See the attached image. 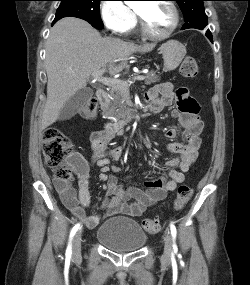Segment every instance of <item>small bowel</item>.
Instances as JSON below:
<instances>
[{"label":"small bowel","mask_w":250,"mask_h":285,"mask_svg":"<svg viewBox=\"0 0 250 285\" xmlns=\"http://www.w3.org/2000/svg\"><path fill=\"white\" fill-rule=\"evenodd\" d=\"M146 101L150 110L155 113L176 102L177 107L172 111V116L178 120L184 130V142H170L166 146V149L175 155L166 162L169 179L164 176L148 179L144 183L145 189H140L135 186L124 187L115 175L106 174L108 165L118 161L123 153L121 146L107 149L115 140L116 131L109 129L92 131L89 135L92 159L101 167L100 179L105 181L107 186L106 197L102 203L105 217L118 214L130 217L141 216L149 206L163 200L168 192L175 190L185 180L186 173L196 159L203 123L198 117L199 105L189 96L187 89L174 90L170 83L157 84L147 92ZM165 134L168 138H174L177 129L170 127ZM69 164L78 179V191L65 181H57L56 190L65 207L86 227L94 228L102 217L86 213L91 201L89 165L79 153L71 154Z\"/></svg>","instance_id":"small-bowel-1"}]
</instances>
